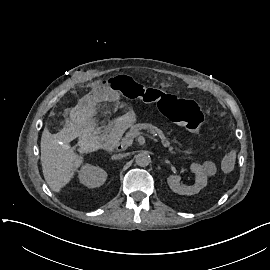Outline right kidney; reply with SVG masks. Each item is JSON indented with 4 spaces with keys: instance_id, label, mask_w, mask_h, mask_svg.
I'll use <instances>...</instances> for the list:
<instances>
[{
    "instance_id": "right-kidney-1",
    "label": "right kidney",
    "mask_w": 270,
    "mask_h": 270,
    "mask_svg": "<svg viewBox=\"0 0 270 270\" xmlns=\"http://www.w3.org/2000/svg\"><path fill=\"white\" fill-rule=\"evenodd\" d=\"M80 183L88 188L100 187L104 184L107 178V173L98 166L85 164L78 172Z\"/></svg>"
}]
</instances>
